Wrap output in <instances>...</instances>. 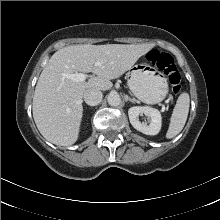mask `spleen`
I'll list each match as a JSON object with an SVG mask.
<instances>
[{"label":"spleen","instance_id":"3e777b00","mask_svg":"<svg viewBox=\"0 0 220 220\" xmlns=\"http://www.w3.org/2000/svg\"><path fill=\"white\" fill-rule=\"evenodd\" d=\"M190 107V97L189 94L183 92L179 95L176 105L173 109L169 128L166 133L167 139H172L178 135L185 126L187 121L188 113Z\"/></svg>","mask_w":220,"mask_h":220}]
</instances>
